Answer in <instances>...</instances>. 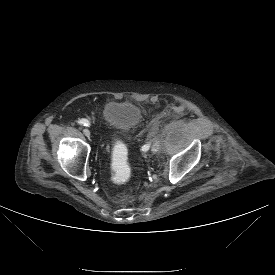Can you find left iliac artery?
<instances>
[{"label":"left iliac artery","mask_w":275,"mask_h":275,"mask_svg":"<svg viewBox=\"0 0 275 275\" xmlns=\"http://www.w3.org/2000/svg\"><path fill=\"white\" fill-rule=\"evenodd\" d=\"M148 148H149V145H145V146L143 147V150L146 151V150H148Z\"/></svg>","instance_id":"obj_1"}]
</instances>
